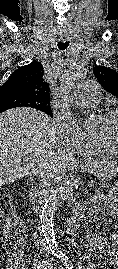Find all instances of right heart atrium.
I'll return each mask as SVG.
<instances>
[{
  "label": "right heart atrium",
  "instance_id": "right-heart-atrium-1",
  "mask_svg": "<svg viewBox=\"0 0 118 269\" xmlns=\"http://www.w3.org/2000/svg\"><path fill=\"white\" fill-rule=\"evenodd\" d=\"M55 119L60 127L64 142L75 149H85L94 142V138L84 132L70 117L55 113Z\"/></svg>",
  "mask_w": 118,
  "mask_h": 269
}]
</instances>
